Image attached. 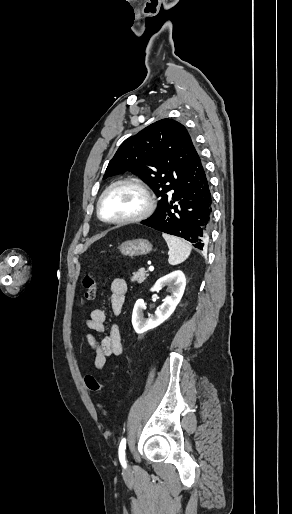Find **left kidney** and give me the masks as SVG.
Segmentation results:
<instances>
[{
	"instance_id": "obj_1",
	"label": "left kidney",
	"mask_w": 292,
	"mask_h": 514,
	"mask_svg": "<svg viewBox=\"0 0 292 514\" xmlns=\"http://www.w3.org/2000/svg\"><path fill=\"white\" fill-rule=\"evenodd\" d=\"M166 284H171L170 290L172 294L165 298L162 306H160V310L154 312V316L144 318L145 302L144 300H137L132 314V326L137 334H144L147 330H152V328H157V326L163 324L173 314L177 304H179L186 286V278L183 272L176 270V272H171L168 276H163V278L157 280L156 284L151 288V292L162 290Z\"/></svg>"
}]
</instances>
